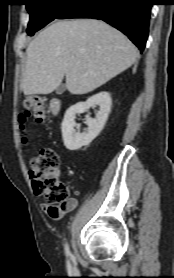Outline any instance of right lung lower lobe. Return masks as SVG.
I'll return each instance as SVG.
<instances>
[{
    "mask_svg": "<svg viewBox=\"0 0 174 278\" xmlns=\"http://www.w3.org/2000/svg\"><path fill=\"white\" fill-rule=\"evenodd\" d=\"M152 0H77L58 19H101L126 34L143 51Z\"/></svg>",
    "mask_w": 174,
    "mask_h": 278,
    "instance_id": "1",
    "label": "right lung lower lobe"
}]
</instances>
